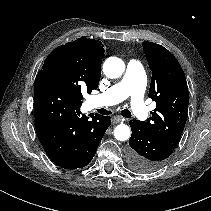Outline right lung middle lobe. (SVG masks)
<instances>
[{
  "mask_svg": "<svg viewBox=\"0 0 211 211\" xmlns=\"http://www.w3.org/2000/svg\"><path fill=\"white\" fill-rule=\"evenodd\" d=\"M36 79H45L51 83L64 87L82 100V92L90 94L95 87L90 85L82 71L72 60L70 55L59 48L54 49L46 58Z\"/></svg>",
  "mask_w": 211,
  "mask_h": 211,
  "instance_id": "1",
  "label": "right lung middle lobe"
}]
</instances>
